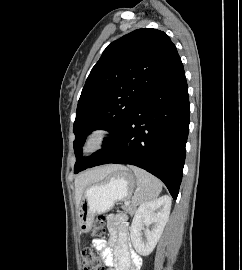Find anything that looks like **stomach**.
I'll return each mask as SVG.
<instances>
[{
  "instance_id": "1",
  "label": "stomach",
  "mask_w": 242,
  "mask_h": 270,
  "mask_svg": "<svg viewBox=\"0 0 242 270\" xmlns=\"http://www.w3.org/2000/svg\"><path fill=\"white\" fill-rule=\"evenodd\" d=\"M134 177L125 167H122L104 180L89 185L80 203L77 222L81 233H87L92 228L95 215L109 211L116 201L127 199L134 188Z\"/></svg>"
}]
</instances>
